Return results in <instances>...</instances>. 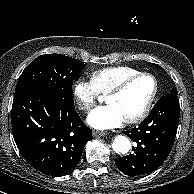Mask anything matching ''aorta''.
<instances>
[{"mask_svg":"<svg viewBox=\"0 0 194 194\" xmlns=\"http://www.w3.org/2000/svg\"><path fill=\"white\" fill-rule=\"evenodd\" d=\"M112 148L118 154H125L131 148L130 140L126 136L118 135L113 140Z\"/></svg>","mask_w":194,"mask_h":194,"instance_id":"762f6f07","label":"aorta"}]
</instances>
